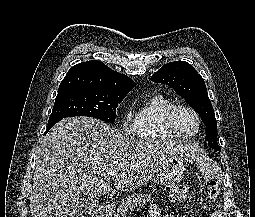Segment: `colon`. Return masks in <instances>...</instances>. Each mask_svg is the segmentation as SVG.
Wrapping results in <instances>:
<instances>
[{
  "label": "colon",
  "instance_id": "colon-1",
  "mask_svg": "<svg viewBox=\"0 0 255 217\" xmlns=\"http://www.w3.org/2000/svg\"><path fill=\"white\" fill-rule=\"evenodd\" d=\"M208 195L212 200H215L219 195V188L215 181L208 182ZM171 200L174 203H184L189 199V190L186 186H176L171 190Z\"/></svg>",
  "mask_w": 255,
  "mask_h": 217
}]
</instances>
